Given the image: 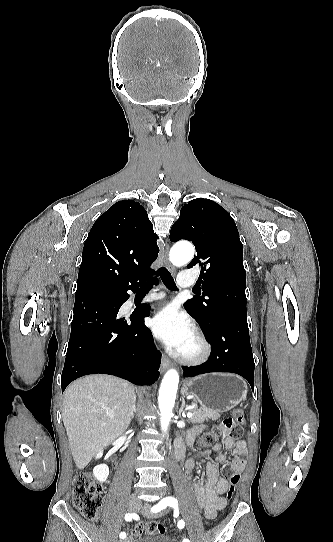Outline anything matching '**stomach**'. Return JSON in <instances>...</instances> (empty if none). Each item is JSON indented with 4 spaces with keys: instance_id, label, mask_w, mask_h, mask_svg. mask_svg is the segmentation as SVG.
Instances as JSON below:
<instances>
[{
    "instance_id": "0dacf381",
    "label": "stomach",
    "mask_w": 333,
    "mask_h": 542,
    "mask_svg": "<svg viewBox=\"0 0 333 542\" xmlns=\"http://www.w3.org/2000/svg\"><path fill=\"white\" fill-rule=\"evenodd\" d=\"M241 378L236 374H203L185 380L182 394L194 396L202 408L228 412L238 406L246 396L241 388Z\"/></svg>"
}]
</instances>
